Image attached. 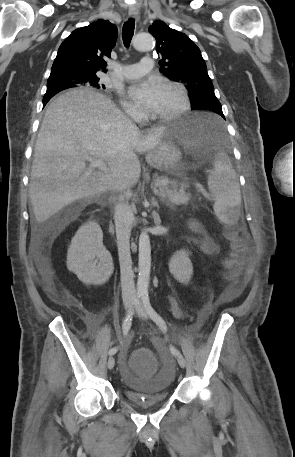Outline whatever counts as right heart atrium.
<instances>
[{"label":"right heart atrium","instance_id":"d8ad5b80","mask_svg":"<svg viewBox=\"0 0 295 457\" xmlns=\"http://www.w3.org/2000/svg\"><path fill=\"white\" fill-rule=\"evenodd\" d=\"M122 106H123L125 112L127 113V115L130 116L131 118H133L135 120H140L143 118L144 113H143L142 109L140 107H138L137 105H135L125 99H122Z\"/></svg>","mask_w":295,"mask_h":457}]
</instances>
